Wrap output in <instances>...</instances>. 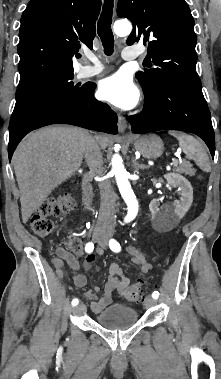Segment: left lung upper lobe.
I'll return each mask as SVG.
<instances>
[{"label": "left lung upper lobe", "mask_w": 221, "mask_h": 379, "mask_svg": "<svg viewBox=\"0 0 221 379\" xmlns=\"http://www.w3.org/2000/svg\"><path fill=\"white\" fill-rule=\"evenodd\" d=\"M117 14L133 23L127 44L147 43V59L157 66L136 74L144 91L155 82L202 89L196 72L194 19L185 0H119Z\"/></svg>", "instance_id": "obj_1"}]
</instances>
